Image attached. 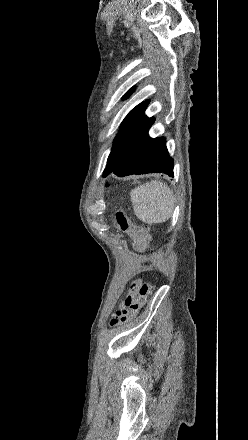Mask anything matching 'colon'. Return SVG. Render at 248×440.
I'll return each mask as SVG.
<instances>
[{
    "instance_id": "5ec220e1",
    "label": "colon",
    "mask_w": 248,
    "mask_h": 440,
    "mask_svg": "<svg viewBox=\"0 0 248 440\" xmlns=\"http://www.w3.org/2000/svg\"><path fill=\"white\" fill-rule=\"evenodd\" d=\"M116 220L121 230L126 231L129 229V223L122 213L117 214ZM150 238V227L148 225H143L140 229L138 249H147L149 247ZM151 290L152 284L150 282L142 281L140 279L135 280L131 285L130 292L125 300L126 309L124 311H119L112 318L111 325L118 326L129 323L143 307Z\"/></svg>"
}]
</instances>
